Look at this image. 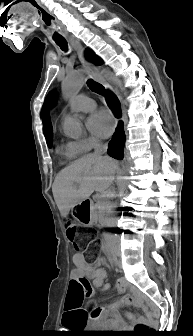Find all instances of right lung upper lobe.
<instances>
[{
	"mask_svg": "<svg viewBox=\"0 0 193 336\" xmlns=\"http://www.w3.org/2000/svg\"><path fill=\"white\" fill-rule=\"evenodd\" d=\"M43 131H44L46 141L51 140L52 127H51L48 114H46L43 117Z\"/></svg>",
	"mask_w": 193,
	"mask_h": 336,
	"instance_id": "1",
	"label": "right lung upper lobe"
}]
</instances>
